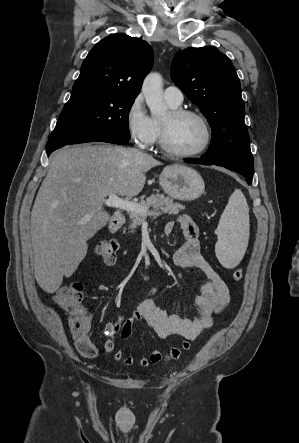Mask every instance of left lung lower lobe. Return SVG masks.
Instances as JSON below:
<instances>
[{
    "label": "left lung lower lobe",
    "mask_w": 299,
    "mask_h": 443,
    "mask_svg": "<svg viewBox=\"0 0 299 443\" xmlns=\"http://www.w3.org/2000/svg\"><path fill=\"white\" fill-rule=\"evenodd\" d=\"M186 162H192L195 164H203V165H217L213 164L204 158L200 159H185ZM217 166H223L225 168H228L230 170H233L241 175H243L247 181L248 184L252 183L253 178V165H247V164H240V165H217Z\"/></svg>",
    "instance_id": "1"
}]
</instances>
